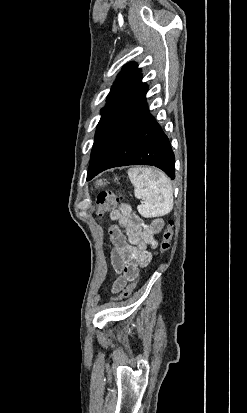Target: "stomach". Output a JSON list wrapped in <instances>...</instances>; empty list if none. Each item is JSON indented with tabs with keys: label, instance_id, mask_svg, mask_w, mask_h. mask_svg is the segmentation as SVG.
Returning a JSON list of instances; mask_svg holds the SVG:
<instances>
[{
	"label": "stomach",
	"instance_id": "1",
	"mask_svg": "<svg viewBox=\"0 0 247 413\" xmlns=\"http://www.w3.org/2000/svg\"><path fill=\"white\" fill-rule=\"evenodd\" d=\"M115 180H118V176H115ZM107 184V178H99V180H96L95 186H105Z\"/></svg>",
	"mask_w": 247,
	"mask_h": 413
}]
</instances>
